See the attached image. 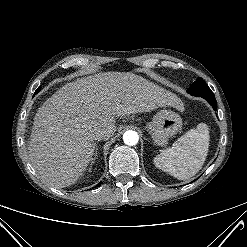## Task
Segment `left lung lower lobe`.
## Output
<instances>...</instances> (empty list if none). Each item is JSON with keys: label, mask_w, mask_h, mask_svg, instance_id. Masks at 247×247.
Returning a JSON list of instances; mask_svg holds the SVG:
<instances>
[{"label": "left lung lower lobe", "mask_w": 247, "mask_h": 247, "mask_svg": "<svg viewBox=\"0 0 247 247\" xmlns=\"http://www.w3.org/2000/svg\"><path fill=\"white\" fill-rule=\"evenodd\" d=\"M204 99H206L213 106L214 110L217 109V101L215 97H204Z\"/></svg>", "instance_id": "obj_1"}]
</instances>
